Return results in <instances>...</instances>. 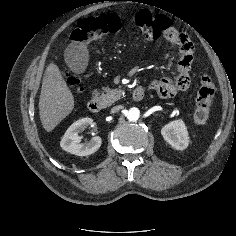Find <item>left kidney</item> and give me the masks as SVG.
Listing matches in <instances>:
<instances>
[{
    "label": "left kidney",
    "instance_id": "5707ae66",
    "mask_svg": "<svg viewBox=\"0 0 236 236\" xmlns=\"http://www.w3.org/2000/svg\"><path fill=\"white\" fill-rule=\"evenodd\" d=\"M161 134L164 140L176 150H184L188 146V132L182 120L172 121L165 125Z\"/></svg>",
    "mask_w": 236,
    "mask_h": 236
}]
</instances>
